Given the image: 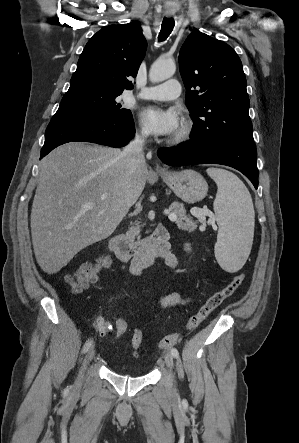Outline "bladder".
I'll return each instance as SVG.
<instances>
[{
	"mask_svg": "<svg viewBox=\"0 0 299 443\" xmlns=\"http://www.w3.org/2000/svg\"><path fill=\"white\" fill-rule=\"evenodd\" d=\"M112 370L118 374H126L134 377L142 376L144 374V369L138 365L132 367L128 365H123V367H120L117 365L114 366Z\"/></svg>",
	"mask_w": 299,
	"mask_h": 443,
	"instance_id": "bladder-1",
	"label": "bladder"
}]
</instances>
